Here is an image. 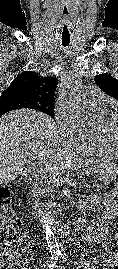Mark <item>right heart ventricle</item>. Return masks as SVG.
I'll use <instances>...</instances> for the list:
<instances>
[{"label":"right heart ventricle","mask_w":118,"mask_h":269,"mask_svg":"<svg viewBox=\"0 0 118 269\" xmlns=\"http://www.w3.org/2000/svg\"><path fill=\"white\" fill-rule=\"evenodd\" d=\"M100 117L105 116L107 111L105 109L96 111ZM79 150L86 154L97 155H112L118 156V154L106 143L99 133L90 135L88 141Z\"/></svg>","instance_id":"1"}]
</instances>
